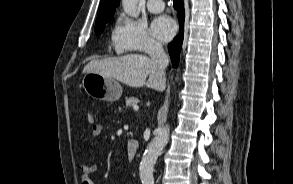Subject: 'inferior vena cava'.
<instances>
[{"label":"inferior vena cava","mask_w":293,"mask_h":184,"mask_svg":"<svg viewBox=\"0 0 293 184\" xmlns=\"http://www.w3.org/2000/svg\"><path fill=\"white\" fill-rule=\"evenodd\" d=\"M148 54L158 74L165 79V69L168 66L169 59L162 45L159 43L150 44L148 48Z\"/></svg>","instance_id":"602c4592"}]
</instances>
